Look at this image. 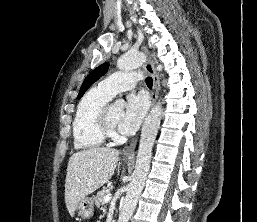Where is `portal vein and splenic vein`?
<instances>
[{
    "instance_id": "18ae733b",
    "label": "portal vein and splenic vein",
    "mask_w": 257,
    "mask_h": 222,
    "mask_svg": "<svg viewBox=\"0 0 257 222\" xmlns=\"http://www.w3.org/2000/svg\"><path fill=\"white\" fill-rule=\"evenodd\" d=\"M111 198H112V195H111L110 193L107 194V195L104 197V203L109 202V201L111 200Z\"/></svg>"
}]
</instances>
